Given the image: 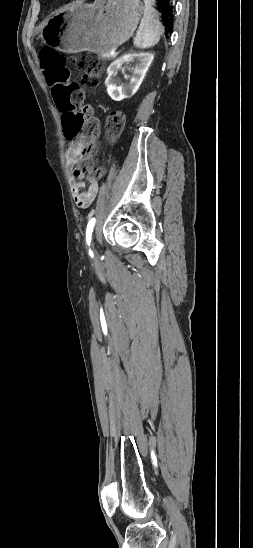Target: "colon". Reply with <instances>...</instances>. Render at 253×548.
Here are the masks:
<instances>
[{"label": "colon", "mask_w": 253, "mask_h": 548, "mask_svg": "<svg viewBox=\"0 0 253 548\" xmlns=\"http://www.w3.org/2000/svg\"><path fill=\"white\" fill-rule=\"evenodd\" d=\"M42 74L48 83V95L54 99L57 109L62 113L63 137H85V147L82 157L76 165V171L87 178L99 179L104 174L103 168H96L93 160L95 141L100 132L99 120L91 109L84 104V94L71 76L69 63L79 73L83 87L91 88L98 84L103 63L86 56L64 58L50 48H43L39 54ZM125 115L120 110L112 111L106 120V132L110 138H115L122 132Z\"/></svg>", "instance_id": "colon-1"}]
</instances>
